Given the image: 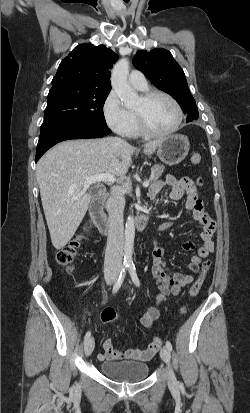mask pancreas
<instances>
[{"label": "pancreas", "instance_id": "cf45deb5", "mask_svg": "<svg viewBox=\"0 0 250 413\" xmlns=\"http://www.w3.org/2000/svg\"><path fill=\"white\" fill-rule=\"evenodd\" d=\"M165 167L161 164H156L152 167V175H151V182H155L158 180L159 177H161L163 171H164Z\"/></svg>", "mask_w": 250, "mask_h": 413}]
</instances>
